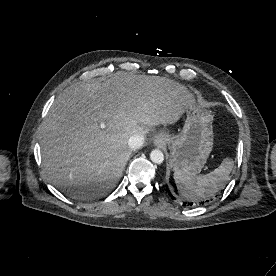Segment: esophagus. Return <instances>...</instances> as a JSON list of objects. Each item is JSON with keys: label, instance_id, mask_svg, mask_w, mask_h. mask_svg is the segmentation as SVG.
I'll list each match as a JSON object with an SVG mask.
<instances>
[{"label": "esophagus", "instance_id": "1", "mask_svg": "<svg viewBox=\"0 0 276 276\" xmlns=\"http://www.w3.org/2000/svg\"><path fill=\"white\" fill-rule=\"evenodd\" d=\"M167 141V138L164 135H160L158 137H156V139L154 140V144L158 147L163 146Z\"/></svg>", "mask_w": 276, "mask_h": 276}]
</instances>
